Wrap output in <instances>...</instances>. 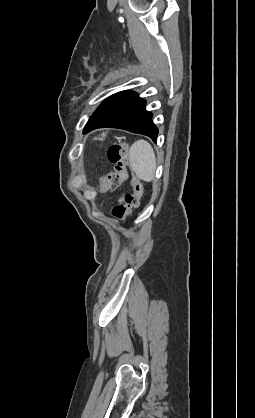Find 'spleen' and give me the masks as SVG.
<instances>
[{
    "label": "spleen",
    "instance_id": "obj_1",
    "mask_svg": "<svg viewBox=\"0 0 255 418\" xmlns=\"http://www.w3.org/2000/svg\"><path fill=\"white\" fill-rule=\"evenodd\" d=\"M129 154L130 165L135 174L141 180L151 182L156 170V157L151 145L140 139L132 144Z\"/></svg>",
    "mask_w": 255,
    "mask_h": 418
}]
</instances>
